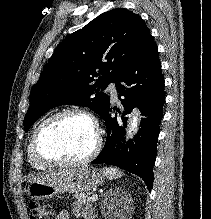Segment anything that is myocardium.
<instances>
[{"instance_id":"1","label":"myocardium","mask_w":211,"mask_h":219,"mask_svg":"<svg viewBox=\"0 0 211 219\" xmlns=\"http://www.w3.org/2000/svg\"><path fill=\"white\" fill-rule=\"evenodd\" d=\"M65 116H76L86 120L93 128L95 133V143L92 150L83 158L78 160H54L46 157L38 148L40 137L43 131L47 128L49 124L54 122L55 120L65 117ZM102 145V135L100 127L96 121V119L88 112L80 110V109H64L62 111L56 112L45 120H43L35 129L31 141H30V150L34 158L40 162L41 164L47 167H78L83 166L90 163L94 160L101 150Z\"/></svg>"}]
</instances>
